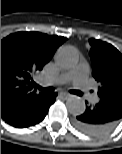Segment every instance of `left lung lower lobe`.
<instances>
[{
	"mask_svg": "<svg viewBox=\"0 0 122 154\" xmlns=\"http://www.w3.org/2000/svg\"><path fill=\"white\" fill-rule=\"evenodd\" d=\"M122 120V94L100 97L94 106H86L78 115L74 126L85 134L98 136L112 130Z\"/></svg>",
	"mask_w": 122,
	"mask_h": 154,
	"instance_id": "1",
	"label": "left lung lower lobe"
}]
</instances>
